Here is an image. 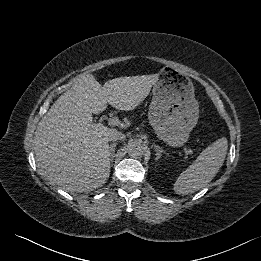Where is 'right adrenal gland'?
Masks as SVG:
<instances>
[{"label": "right adrenal gland", "instance_id": "1", "mask_svg": "<svg viewBox=\"0 0 261 261\" xmlns=\"http://www.w3.org/2000/svg\"><path fill=\"white\" fill-rule=\"evenodd\" d=\"M116 145H117V142H113L112 144H110V147H109L111 164H112L113 159H114Z\"/></svg>", "mask_w": 261, "mask_h": 261}]
</instances>
